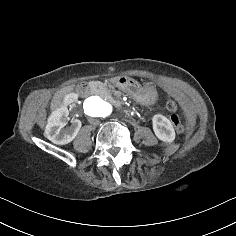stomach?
Masks as SVG:
<instances>
[{
	"mask_svg": "<svg viewBox=\"0 0 236 236\" xmlns=\"http://www.w3.org/2000/svg\"><path fill=\"white\" fill-rule=\"evenodd\" d=\"M116 87L123 93L130 95L140 104L153 105L157 101V93L150 87H142L137 82L126 77H119L116 80Z\"/></svg>",
	"mask_w": 236,
	"mask_h": 236,
	"instance_id": "1",
	"label": "stomach"
}]
</instances>
